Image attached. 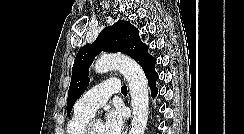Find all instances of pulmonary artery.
Masks as SVG:
<instances>
[{"label": "pulmonary artery", "instance_id": "e3ab8cb5", "mask_svg": "<svg viewBox=\"0 0 244 134\" xmlns=\"http://www.w3.org/2000/svg\"><path fill=\"white\" fill-rule=\"evenodd\" d=\"M121 85L118 79L111 78L87 91L75 104V111L93 116L98 108L103 106L109 97L118 93Z\"/></svg>", "mask_w": 244, "mask_h": 134}]
</instances>
